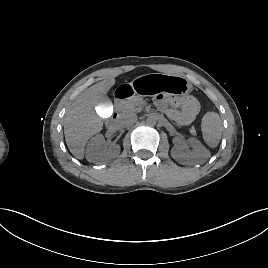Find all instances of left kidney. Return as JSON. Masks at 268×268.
<instances>
[{
  "instance_id": "left-kidney-1",
  "label": "left kidney",
  "mask_w": 268,
  "mask_h": 268,
  "mask_svg": "<svg viewBox=\"0 0 268 268\" xmlns=\"http://www.w3.org/2000/svg\"><path fill=\"white\" fill-rule=\"evenodd\" d=\"M171 156L179 162L195 164L206 161L210 153L199 140L189 138L187 142L176 139L175 145L171 149Z\"/></svg>"
}]
</instances>
